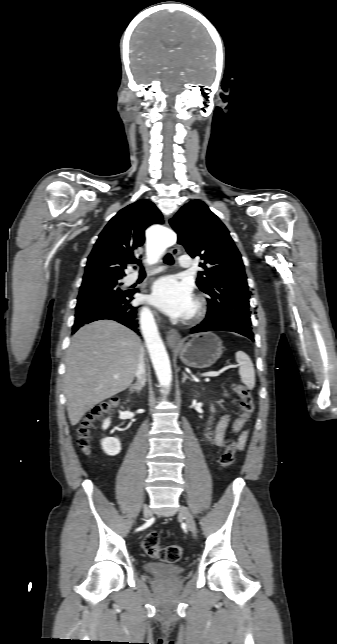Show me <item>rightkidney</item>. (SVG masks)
<instances>
[{
    "label": "right kidney",
    "mask_w": 337,
    "mask_h": 644,
    "mask_svg": "<svg viewBox=\"0 0 337 644\" xmlns=\"http://www.w3.org/2000/svg\"><path fill=\"white\" fill-rule=\"evenodd\" d=\"M110 425V419L104 421L102 428L105 430ZM102 449L107 455L115 456L121 451V443L117 438L107 437L101 441Z\"/></svg>",
    "instance_id": "obj_1"
}]
</instances>
